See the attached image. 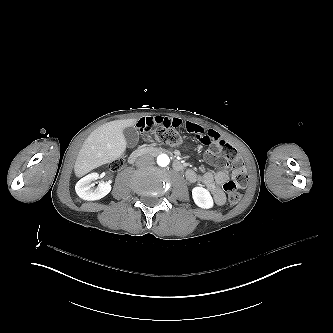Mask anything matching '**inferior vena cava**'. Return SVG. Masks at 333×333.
<instances>
[{
    "mask_svg": "<svg viewBox=\"0 0 333 333\" xmlns=\"http://www.w3.org/2000/svg\"><path fill=\"white\" fill-rule=\"evenodd\" d=\"M154 163V158L151 155H142L137 160L135 165L137 167H145Z\"/></svg>",
    "mask_w": 333,
    "mask_h": 333,
    "instance_id": "inferior-vena-cava-1",
    "label": "inferior vena cava"
}]
</instances>
